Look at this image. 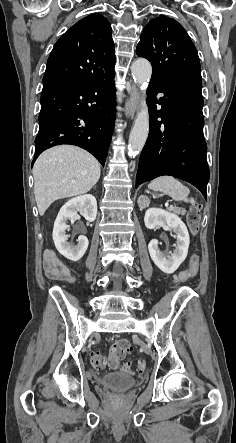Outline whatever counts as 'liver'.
<instances>
[{"mask_svg":"<svg viewBox=\"0 0 236 443\" xmlns=\"http://www.w3.org/2000/svg\"><path fill=\"white\" fill-rule=\"evenodd\" d=\"M39 214L56 200L89 192L100 178V164L87 151L60 145L43 152L33 167Z\"/></svg>","mask_w":236,"mask_h":443,"instance_id":"obj_1","label":"liver"}]
</instances>
